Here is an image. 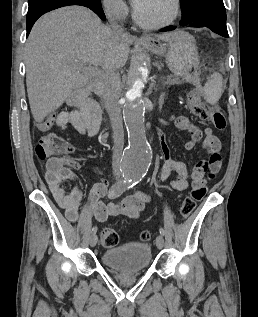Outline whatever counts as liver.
Returning <instances> with one entry per match:
<instances>
[{"instance_id": "obj_1", "label": "liver", "mask_w": 258, "mask_h": 317, "mask_svg": "<svg viewBox=\"0 0 258 317\" xmlns=\"http://www.w3.org/2000/svg\"><path fill=\"white\" fill-rule=\"evenodd\" d=\"M150 36V34H149ZM172 42L179 30L154 34ZM136 40L127 32H112L101 18L85 6H63L36 20L24 48L26 84L34 120L59 108L91 82L89 72L81 74L75 60L120 68L127 62L130 44Z\"/></svg>"}]
</instances>
